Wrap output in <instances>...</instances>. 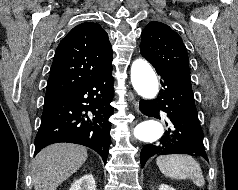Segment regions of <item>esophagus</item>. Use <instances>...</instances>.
<instances>
[{
	"mask_svg": "<svg viewBox=\"0 0 238 190\" xmlns=\"http://www.w3.org/2000/svg\"><path fill=\"white\" fill-rule=\"evenodd\" d=\"M134 107H135L136 110L138 109V102L134 103Z\"/></svg>",
	"mask_w": 238,
	"mask_h": 190,
	"instance_id": "34e87169",
	"label": "esophagus"
}]
</instances>
